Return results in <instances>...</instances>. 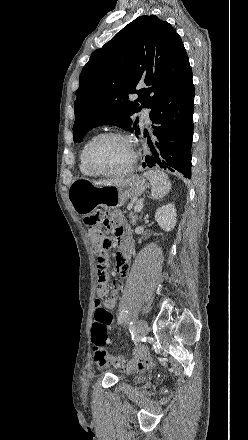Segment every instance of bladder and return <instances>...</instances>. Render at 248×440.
Masks as SVG:
<instances>
[{"label": "bladder", "instance_id": "bladder-1", "mask_svg": "<svg viewBox=\"0 0 248 440\" xmlns=\"http://www.w3.org/2000/svg\"><path fill=\"white\" fill-rule=\"evenodd\" d=\"M142 373H139V372H137L136 374H135V377L137 378V379H140V378H142Z\"/></svg>", "mask_w": 248, "mask_h": 440}]
</instances>
